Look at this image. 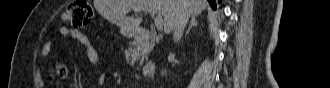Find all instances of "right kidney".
<instances>
[{
    "label": "right kidney",
    "mask_w": 330,
    "mask_h": 88,
    "mask_svg": "<svg viewBox=\"0 0 330 88\" xmlns=\"http://www.w3.org/2000/svg\"><path fill=\"white\" fill-rule=\"evenodd\" d=\"M162 76L166 74V70L161 72Z\"/></svg>",
    "instance_id": "1"
}]
</instances>
